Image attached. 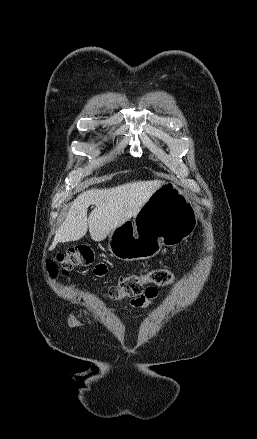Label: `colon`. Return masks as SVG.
I'll return each mask as SVG.
<instances>
[{"mask_svg":"<svg viewBox=\"0 0 257 439\" xmlns=\"http://www.w3.org/2000/svg\"><path fill=\"white\" fill-rule=\"evenodd\" d=\"M94 257V251L90 247L82 246L58 254L54 261L47 262V268L53 277L58 272L67 275L77 266L90 265ZM173 280V274L162 268L154 269L145 275L128 274L123 276L117 285L109 289L107 297L114 301H122L127 297H139L144 293V284L153 283L165 286L171 284Z\"/></svg>","mask_w":257,"mask_h":439,"instance_id":"colon-1","label":"colon"}]
</instances>
